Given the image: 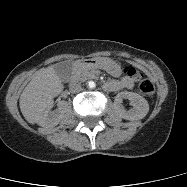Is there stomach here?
Returning a JSON list of instances; mask_svg holds the SVG:
<instances>
[{
  "mask_svg": "<svg viewBox=\"0 0 187 187\" xmlns=\"http://www.w3.org/2000/svg\"><path fill=\"white\" fill-rule=\"evenodd\" d=\"M91 63L112 76L118 77L121 75V66L111 58L95 57L91 59Z\"/></svg>",
  "mask_w": 187,
  "mask_h": 187,
  "instance_id": "1",
  "label": "stomach"
}]
</instances>
